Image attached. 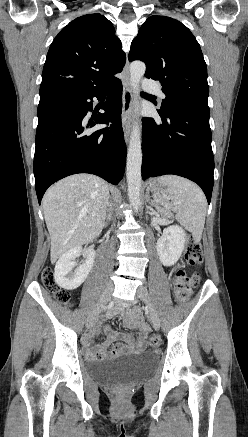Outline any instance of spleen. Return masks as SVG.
Listing matches in <instances>:
<instances>
[{
  "mask_svg": "<svg viewBox=\"0 0 248 437\" xmlns=\"http://www.w3.org/2000/svg\"><path fill=\"white\" fill-rule=\"evenodd\" d=\"M158 183L167 186V199L171 200L169 205L176 212L177 221L200 241L207 205L202 190L195 183L175 175L161 176Z\"/></svg>",
  "mask_w": 248,
  "mask_h": 437,
  "instance_id": "obj_1",
  "label": "spleen"
}]
</instances>
